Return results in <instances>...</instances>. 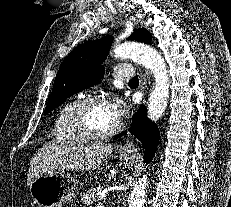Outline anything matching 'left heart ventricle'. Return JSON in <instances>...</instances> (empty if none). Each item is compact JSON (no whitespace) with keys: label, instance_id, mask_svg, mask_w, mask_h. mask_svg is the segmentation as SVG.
Masks as SVG:
<instances>
[{"label":"left heart ventricle","instance_id":"1","mask_svg":"<svg viewBox=\"0 0 231 207\" xmlns=\"http://www.w3.org/2000/svg\"><path fill=\"white\" fill-rule=\"evenodd\" d=\"M83 120L94 133L110 130L117 121L111 115L106 103L89 105L83 112Z\"/></svg>","mask_w":231,"mask_h":207}]
</instances>
